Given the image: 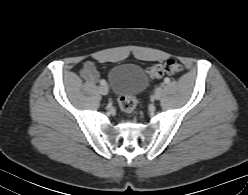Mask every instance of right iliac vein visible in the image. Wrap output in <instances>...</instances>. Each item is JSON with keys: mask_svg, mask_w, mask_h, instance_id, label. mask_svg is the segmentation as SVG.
I'll list each match as a JSON object with an SVG mask.
<instances>
[{"mask_svg": "<svg viewBox=\"0 0 248 195\" xmlns=\"http://www.w3.org/2000/svg\"><path fill=\"white\" fill-rule=\"evenodd\" d=\"M99 92L102 94V95H106L108 94V87L106 85H102L98 88Z\"/></svg>", "mask_w": 248, "mask_h": 195, "instance_id": "right-iliac-vein-1", "label": "right iliac vein"}]
</instances>
